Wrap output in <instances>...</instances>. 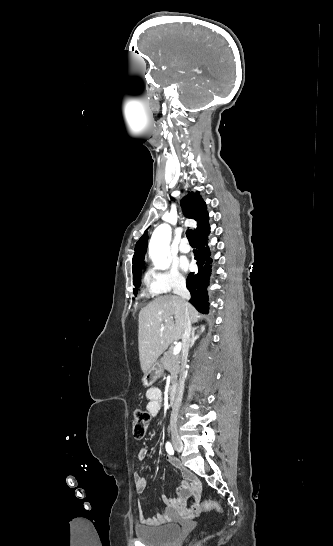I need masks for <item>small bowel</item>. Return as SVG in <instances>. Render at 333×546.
I'll use <instances>...</instances> for the list:
<instances>
[{
  "mask_svg": "<svg viewBox=\"0 0 333 546\" xmlns=\"http://www.w3.org/2000/svg\"><path fill=\"white\" fill-rule=\"evenodd\" d=\"M147 410L153 417L159 415L162 409L163 395L158 387H151L146 391ZM148 450L141 448L138 451L137 458L139 461H144L147 457ZM168 461L177 466L183 478L182 485L177 488L173 496L162 495L161 501L165 505L166 510L157 514L155 517H147L142 507H138V516L141 524L146 526H160L170 521L173 512H179L184 518H195L200 515V500L202 497V486L195 475L185 467L179 466L176 459L167 456ZM136 492L142 494L145 492L148 481L140 473L133 475Z\"/></svg>",
  "mask_w": 333,
  "mask_h": 546,
  "instance_id": "small-bowel-1",
  "label": "small bowel"
}]
</instances>
